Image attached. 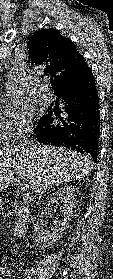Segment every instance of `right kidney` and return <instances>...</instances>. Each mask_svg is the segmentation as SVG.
Segmentation results:
<instances>
[{
  "label": "right kidney",
  "instance_id": "right-kidney-1",
  "mask_svg": "<svg viewBox=\"0 0 113 279\" xmlns=\"http://www.w3.org/2000/svg\"><path fill=\"white\" fill-rule=\"evenodd\" d=\"M76 191L74 188L66 186L56 191L50 196L51 203L63 202L60 207V218H55L51 228H44L41 222L34 224V238L42 248L50 247L64 233L72 217V209L75 206Z\"/></svg>",
  "mask_w": 113,
  "mask_h": 279
}]
</instances>
